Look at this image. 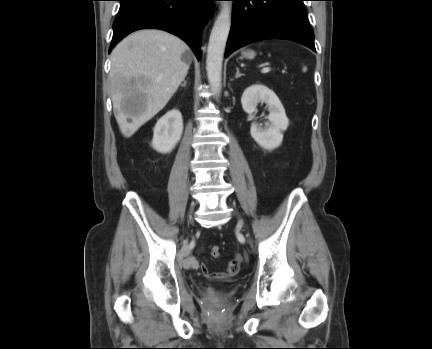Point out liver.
<instances>
[{"label":"liver","instance_id":"1","mask_svg":"<svg viewBox=\"0 0 432 349\" xmlns=\"http://www.w3.org/2000/svg\"><path fill=\"white\" fill-rule=\"evenodd\" d=\"M186 52L189 48L184 41L156 29L136 31L113 49L111 99L125 137H131L166 106L188 73L190 63L181 59ZM127 99L137 103L131 113L122 107Z\"/></svg>","mask_w":432,"mask_h":349}]
</instances>
